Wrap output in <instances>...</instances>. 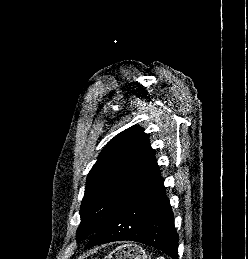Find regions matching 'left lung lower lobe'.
<instances>
[{"label":"left lung lower lobe","mask_w":248,"mask_h":259,"mask_svg":"<svg viewBox=\"0 0 248 259\" xmlns=\"http://www.w3.org/2000/svg\"><path fill=\"white\" fill-rule=\"evenodd\" d=\"M173 217L162 181L96 232L85 249L113 241L131 240L153 246L172 259H178V235Z\"/></svg>","instance_id":"0a47b994"}]
</instances>
